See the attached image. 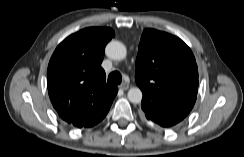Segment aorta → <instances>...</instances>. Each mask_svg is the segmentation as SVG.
<instances>
[{
    "instance_id": "1",
    "label": "aorta",
    "mask_w": 244,
    "mask_h": 157,
    "mask_svg": "<svg viewBox=\"0 0 244 157\" xmlns=\"http://www.w3.org/2000/svg\"><path fill=\"white\" fill-rule=\"evenodd\" d=\"M106 55L114 60H123L126 58L127 50L123 43L119 41H111L105 49ZM128 99L132 103H140L142 100V91L138 87L130 88L128 91Z\"/></svg>"
}]
</instances>
